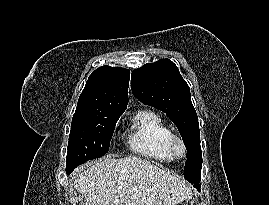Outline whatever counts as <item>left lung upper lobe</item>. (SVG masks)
Wrapping results in <instances>:
<instances>
[{"label":"left lung upper lobe","mask_w":269,"mask_h":205,"mask_svg":"<svg viewBox=\"0 0 269 205\" xmlns=\"http://www.w3.org/2000/svg\"><path fill=\"white\" fill-rule=\"evenodd\" d=\"M131 88L139 101L160 109L177 126L187 149L184 177L198 183L202 168L198 117L177 66L169 59L145 64L132 72Z\"/></svg>","instance_id":"obj_1"}]
</instances>
